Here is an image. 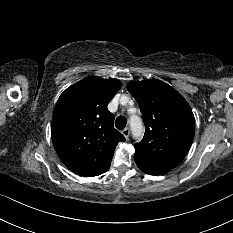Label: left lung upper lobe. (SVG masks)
<instances>
[{"label": "left lung upper lobe", "instance_id": "obj_1", "mask_svg": "<svg viewBox=\"0 0 233 233\" xmlns=\"http://www.w3.org/2000/svg\"><path fill=\"white\" fill-rule=\"evenodd\" d=\"M127 88L140 106L144 138L134 145L141 157L175 168L187 155L195 133L193 112L174 88L157 79L131 81Z\"/></svg>", "mask_w": 233, "mask_h": 233}]
</instances>
